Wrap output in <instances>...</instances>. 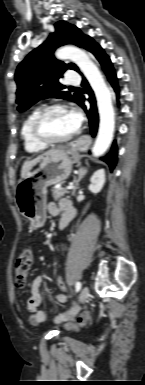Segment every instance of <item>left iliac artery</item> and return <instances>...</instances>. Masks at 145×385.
<instances>
[{"label": "left iliac artery", "mask_w": 145, "mask_h": 385, "mask_svg": "<svg viewBox=\"0 0 145 385\" xmlns=\"http://www.w3.org/2000/svg\"><path fill=\"white\" fill-rule=\"evenodd\" d=\"M81 282H77L76 285H75V289H76V292H78L80 289H81Z\"/></svg>", "instance_id": "left-iliac-artery-1"}]
</instances>
